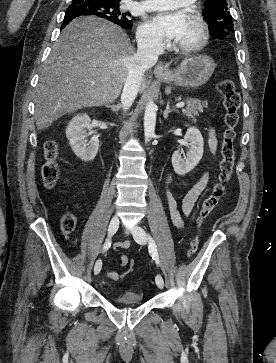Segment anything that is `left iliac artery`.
<instances>
[{
  "mask_svg": "<svg viewBox=\"0 0 276 363\" xmlns=\"http://www.w3.org/2000/svg\"><path fill=\"white\" fill-rule=\"evenodd\" d=\"M148 241H149V252L151 253V256H152L153 260H155L156 264L158 265L159 264V256H158L155 241L153 240V238L151 236H148Z\"/></svg>",
  "mask_w": 276,
  "mask_h": 363,
  "instance_id": "1",
  "label": "left iliac artery"
}]
</instances>
